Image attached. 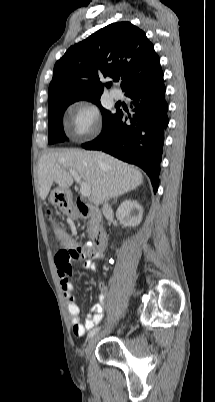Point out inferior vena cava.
Listing matches in <instances>:
<instances>
[{
	"mask_svg": "<svg viewBox=\"0 0 215 402\" xmlns=\"http://www.w3.org/2000/svg\"><path fill=\"white\" fill-rule=\"evenodd\" d=\"M109 210H111L110 205L108 204V202H105L102 208L103 213L105 214L106 212H108Z\"/></svg>",
	"mask_w": 215,
	"mask_h": 402,
	"instance_id": "inferior-vena-cava-1",
	"label": "inferior vena cava"
}]
</instances>
